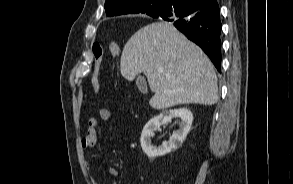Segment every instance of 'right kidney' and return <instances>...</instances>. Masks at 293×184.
<instances>
[{"label":"right kidney","instance_id":"ca27d5eb","mask_svg":"<svg viewBox=\"0 0 293 184\" xmlns=\"http://www.w3.org/2000/svg\"><path fill=\"white\" fill-rule=\"evenodd\" d=\"M173 118H180L181 122L179 123V130L174 131L170 140L168 142H163L160 147H155L151 144V136L153 131L159 128L163 124H167ZM193 121V114L187 108H179L173 109L169 111H163L159 115L153 117L148 121V123L144 126L141 134V147L144 153L149 158H155L158 156L166 155L178 147L181 146L183 141L185 140L187 134L190 131L191 125Z\"/></svg>","mask_w":293,"mask_h":184}]
</instances>
